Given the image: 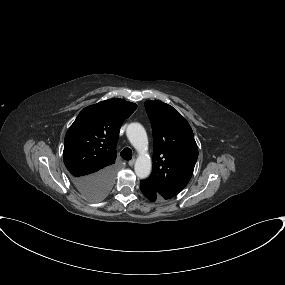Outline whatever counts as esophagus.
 <instances>
[{"label":"esophagus","instance_id":"34e87169","mask_svg":"<svg viewBox=\"0 0 285 285\" xmlns=\"http://www.w3.org/2000/svg\"><path fill=\"white\" fill-rule=\"evenodd\" d=\"M134 164H135V159L134 158L128 162V165L131 166V167L134 166Z\"/></svg>","mask_w":285,"mask_h":285}]
</instances>
